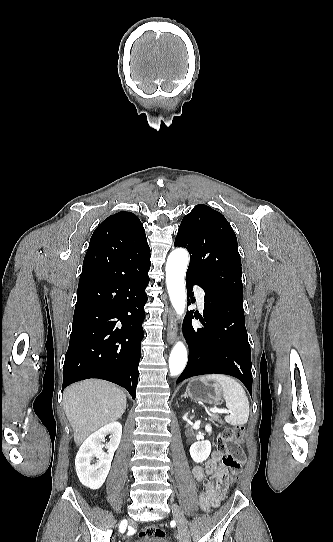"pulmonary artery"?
Returning a JSON list of instances; mask_svg holds the SVG:
<instances>
[{
	"label": "pulmonary artery",
	"instance_id": "e3ab8cb5",
	"mask_svg": "<svg viewBox=\"0 0 333 542\" xmlns=\"http://www.w3.org/2000/svg\"><path fill=\"white\" fill-rule=\"evenodd\" d=\"M194 294H195L196 296H201V295L203 294V289H202L201 287H196V288L194 289ZM197 303H198V305H199L200 307H202V306H203V298H202V297H198Z\"/></svg>",
	"mask_w": 333,
	"mask_h": 542
}]
</instances>
